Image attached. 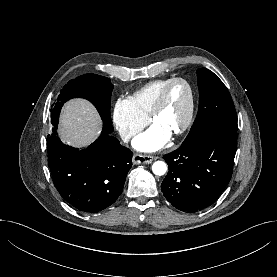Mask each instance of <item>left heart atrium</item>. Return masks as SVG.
<instances>
[{
    "instance_id": "1",
    "label": "left heart atrium",
    "mask_w": 277,
    "mask_h": 277,
    "mask_svg": "<svg viewBox=\"0 0 277 277\" xmlns=\"http://www.w3.org/2000/svg\"><path fill=\"white\" fill-rule=\"evenodd\" d=\"M171 134L157 124H153L147 131L133 140V147L143 152H154L163 148Z\"/></svg>"
}]
</instances>
